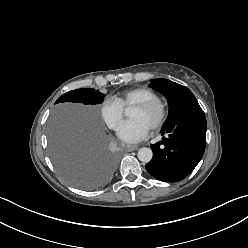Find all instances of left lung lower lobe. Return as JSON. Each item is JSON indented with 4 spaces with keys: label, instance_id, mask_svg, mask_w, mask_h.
I'll use <instances>...</instances> for the list:
<instances>
[{
    "label": "left lung lower lobe",
    "instance_id": "0a47b994",
    "mask_svg": "<svg viewBox=\"0 0 248 248\" xmlns=\"http://www.w3.org/2000/svg\"><path fill=\"white\" fill-rule=\"evenodd\" d=\"M161 133L167 137L150 145L153 158L145 168L160 181H181L197 166L206 146V118L197 100L184 105Z\"/></svg>",
    "mask_w": 248,
    "mask_h": 248
}]
</instances>
